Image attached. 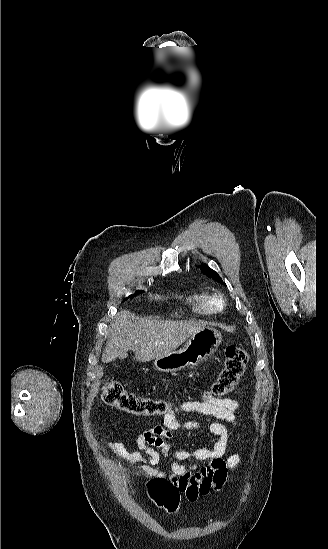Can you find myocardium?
<instances>
[{
  "label": "myocardium",
  "instance_id": "f54148a6",
  "mask_svg": "<svg viewBox=\"0 0 328 549\" xmlns=\"http://www.w3.org/2000/svg\"><path fill=\"white\" fill-rule=\"evenodd\" d=\"M214 310L216 312L222 311L226 306V299L223 295L218 294L213 297Z\"/></svg>",
  "mask_w": 328,
  "mask_h": 549
}]
</instances>
